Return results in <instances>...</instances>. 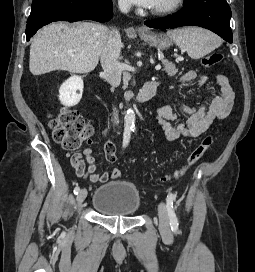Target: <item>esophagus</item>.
Returning <instances> with one entry per match:
<instances>
[{
	"instance_id": "1",
	"label": "esophagus",
	"mask_w": 255,
	"mask_h": 272,
	"mask_svg": "<svg viewBox=\"0 0 255 272\" xmlns=\"http://www.w3.org/2000/svg\"><path fill=\"white\" fill-rule=\"evenodd\" d=\"M146 31H147V28H144V27L138 28V32H146Z\"/></svg>"
}]
</instances>
